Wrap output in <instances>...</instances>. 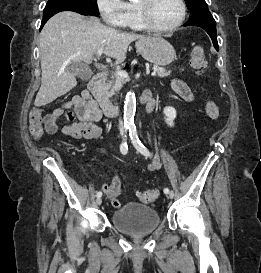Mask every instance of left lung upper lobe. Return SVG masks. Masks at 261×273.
Wrapping results in <instances>:
<instances>
[{"mask_svg": "<svg viewBox=\"0 0 261 273\" xmlns=\"http://www.w3.org/2000/svg\"><path fill=\"white\" fill-rule=\"evenodd\" d=\"M185 2L191 14L208 8L205 0H185Z\"/></svg>", "mask_w": 261, "mask_h": 273, "instance_id": "obj_1", "label": "left lung upper lobe"}]
</instances>
